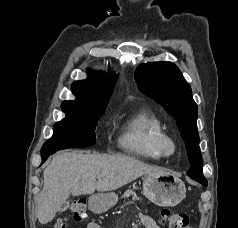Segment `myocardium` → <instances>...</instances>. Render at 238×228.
<instances>
[{"mask_svg": "<svg viewBox=\"0 0 238 228\" xmlns=\"http://www.w3.org/2000/svg\"><path fill=\"white\" fill-rule=\"evenodd\" d=\"M159 148L162 154L165 157H170L176 154L177 152V144L174 141V139L168 135L167 133H164L159 141Z\"/></svg>", "mask_w": 238, "mask_h": 228, "instance_id": "myocardium-1", "label": "myocardium"}]
</instances>
